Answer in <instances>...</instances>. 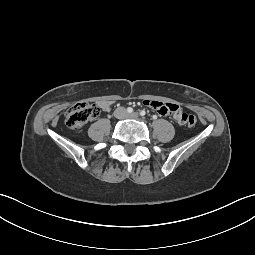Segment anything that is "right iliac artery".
Wrapping results in <instances>:
<instances>
[{
  "mask_svg": "<svg viewBox=\"0 0 255 255\" xmlns=\"http://www.w3.org/2000/svg\"><path fill=\"white\" fill-rule=\"evenodd\" d=\"M127 112H128V113H132V112H133V108L128 107V108H127Z\"/></svg>",
  "mask_w": 255,
  "mask_h": 255,
  "instance_id": "82829eb1",
  "label": "right iliac artery"
}]
</instances>
